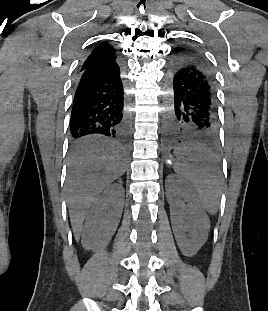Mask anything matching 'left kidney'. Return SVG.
<instances>
[{
    "label": "left kidney",
    "mask_w": 268,
    "mask_h": 311,
    "mask_svg": "<svg viewBox=\"0 0 268 311\" xmlns=\"http://www.w3.org/2000/svg\"><path fill=\"white\" fill-rule=\"evenodd\" d=\"M166 197L176 242L183 255L192 257L207 240L208 217L193 186L178 175L167 177Z\"/></svg>",
    "instance_id": "5707ae66"
}]
</instances>
